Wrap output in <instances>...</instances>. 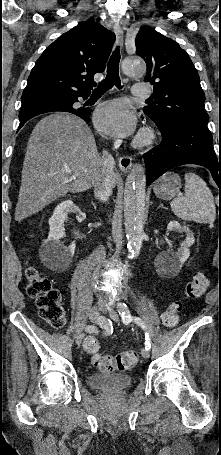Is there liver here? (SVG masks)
I'll list each match as a JSON object with an SVG mask.
<instances>
[{
	"label": "liver",
	"instance_id": "liver-1",
	"mask_svg": "<svg viewBox=\"0 0 221 455\" xmlns=\"http://www.w3.org/2000/svg\"><path fill=\"white\" fill-rule=\"evenodd\" d=\"M101 168L95 138L81 118L63 112L44 117L28 140L15 220L38 213L68 192L90 189ZM117 179L114 173V186Z\"/></svg>",
	"mask_w": 221,
	"mask_h": 455
}]
</instances>
